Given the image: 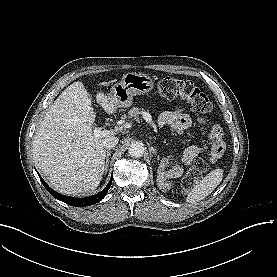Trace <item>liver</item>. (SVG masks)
<instances>
[{"instance_id": "obj_1", "label": "liver", "mask_w": 277, "mask_h": 277, "mask_svg": "<svg viewBox=\"0 0 277 277\" xmlns=\"http://www.w3.org/2000/svg\"><path fill=\"white\" fill-rule=\"evenodd\" d=\"M96 101L108 114L118 108L103 92H97ZM95 119L92 97L82 82H74L48 108L35 131L34 163L59 193L87 195L102 180L104 141L111 135L95 138L92 131Z\"/></svg>"}]
</instances>
